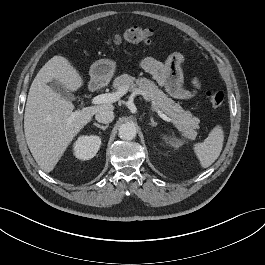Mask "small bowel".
I'll return each instance as SVG.
<instances>
[{
  "mask_svg": "<svg viewBox=\"0 0 265 265\" xmlns=\"http://www.w3.org/2000/svg\"><path fill=\"white\" fill-rule=\"evenodd\" d=\"M184 57L180 53L171 54L165 62L152 57L141 60V68L152 75L156 82L163 87L172 97L178 100H189L200 90L202 83L199 77L191 80L190 88L183 86L182 65Z\"/></svg>",
  "mask_w": 265,
  "mask_h": 265,
  "instance_id": "obj_1",
  "label": "small bowel"
}]
</instances>
